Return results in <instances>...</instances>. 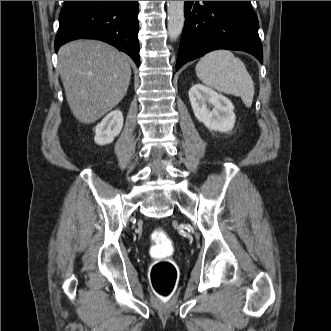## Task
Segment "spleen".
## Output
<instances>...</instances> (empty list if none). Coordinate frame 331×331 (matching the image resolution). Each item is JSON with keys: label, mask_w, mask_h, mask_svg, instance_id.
Wrapping results in <instances>:
<instances>
[{"label": "spleen", "mask_w": 331, "mask_h": 331, "mask_svg": "<svg viewBox=\"0 0 331 331\" xmlns=\"http://www.w3.org/2000/svg\"><path fill=\"white\" fill-rule=\"evenodd\" d=\"M197 77L207 86L226 94L240 96L251 107L254 82L245 64L229 50H215L204 55L196 65Z\"/></svg>", "instance_id": "obj_1"}]
</instances>
